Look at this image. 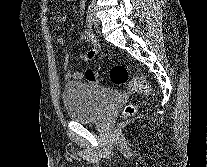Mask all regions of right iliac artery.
<instances>
[{
    "label": "right iliac artery",
    "mask_w": 207,
    "mask_h": 167,
    "mask_svg": "<svg viewBox=\"0 0 207 167\" xmlns=\"http://www.w3.org/2000/svg\"><path fill=\"white\" fill-rule=\"evenodd\" d=\"M86 21H87V25L88 27H92L93 25V9L91 7V5H89L88 10H87V16H86Z\"/></svg>",
    "instance_id": "right-iliac-artery-1"
}]
</instances>
